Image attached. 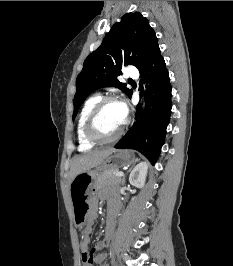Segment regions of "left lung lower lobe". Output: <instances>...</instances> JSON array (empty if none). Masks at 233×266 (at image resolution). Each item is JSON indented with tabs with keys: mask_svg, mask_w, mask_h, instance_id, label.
Masks as SVG:
<instances>
[{
	"mask_svg": "<svg viewBox=\"0 0 233 266\" xmlns=\"http://www.w3.org/2000/svg\"><path fill=\"white\" fill-rule=\"evenodd\" d=\"M138 69L147 84V108L138 110L136 122L115 148L138 150L154 165L165 141L172 107L169 74L159 46Z\"/></svg>",
	"mask_w": 233,
	"mask_h": 266,
	"instance_id": "obj_1",
	"label": "left lung lower lobe"
}]
</instances>
